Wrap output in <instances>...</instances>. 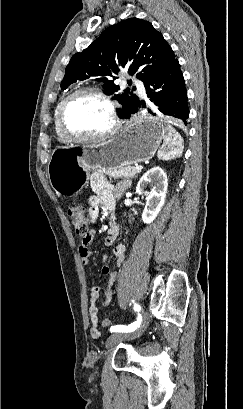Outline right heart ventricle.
<instances>
[{
	"label": "right heart ventricle",
	"mask_w": 243,
	"mask_h": 409,
	"mask_svg": "<svg viewBox=\"0 0 243 409\" xmlns=\"http://www.w3.org/2000/svg\"><path fill=\"white\" fill-rule=\"evenodd\" d=\"M63 99L60 100L56 107H55V111H54V128H55V133L57 135V138L60 142L62 143H68L69 140L61 133L60 129H59V125H58V112L61 106Z\"/></svg>",
	"instance_id": "right-heart-ventricle-1"
}]
</instances>
